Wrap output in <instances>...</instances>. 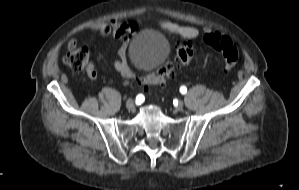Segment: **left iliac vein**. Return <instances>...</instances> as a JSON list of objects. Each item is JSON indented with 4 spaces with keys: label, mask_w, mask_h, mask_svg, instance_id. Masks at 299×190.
Wrapping results in <instances>:
<instances>
[{
    "label": "left iliac vein",
    "mask_w": 299,
    "mask_h": 190,
    "mask_svg": "<svg viewBox=\"0 0 299 190\" xmlns=\"http://www.w3.org/2000/svg\"><path fill=\"white\" fill-rule=\"evenodd\" d=\"M183 107H184V104H183V102L180 101L176 106V110L181 111L183 109Z\"/></svg>",
    "instance_id": "obj_1"
}]
</instances>
